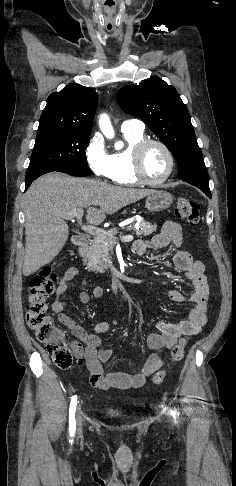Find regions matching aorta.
Instances as JSON below:
<instances>
[{"mask_svg":"<svg viewBox=\"0 0 236 486\" xmlns=\"http://www.w3.org/2000/svg\"><path fill=\"white\" fill-rule=\"evenodd\" d=\"M100 129L107 138H113L114 130L111 123L106 115H103L100 119ZM122 147V143L115 145V148L119 149Z\"/></svg>","mask_w":236,"mask_h":486,"instance_id":"762f6f07","label":"aorta"}]
</instances>
